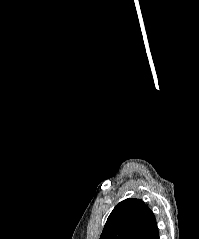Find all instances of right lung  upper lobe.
Listing matches in <instances>:
<instances>
[{
	"label": "right lung upper lobe",
	"instance_id": "right-lung-upper-lobe-1",
	"mask_svg": "<svg viewBox=\"0 0 199 239\" xmlns=\"http://www.w3.org/2000/svg\"><path fill=\"white\" fill-rule=\"evenodd\" d=\"M156 226L154 213L140 199L118 203L99 239H143Z\"/></svg>",
	"mask_w": 199,
	"mask_h": 239
}]
</instances>
